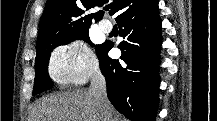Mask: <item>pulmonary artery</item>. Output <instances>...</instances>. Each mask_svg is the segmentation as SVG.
<instances>
[{
  "label": "pulmonary artery",
  "instance_id": "obj_1",
  "mask_svg": "<svg viewBox=\"0 0 217 121\" xmlns=\"http://www.w3.org/2000/svg\"><path fill=\"white\" fill-rule=\"evenodd\" d=\"M99 28L105 32L109 33L112 31L113 25L109 20H103L99 22Z\"/></svg>",
  "mask_w": 217,
  "mask_h": 121
}]
</instances>
